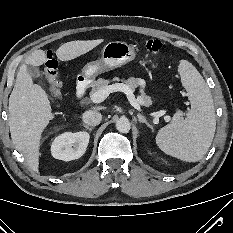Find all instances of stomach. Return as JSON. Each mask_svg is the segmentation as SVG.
<instances>
[{
  "instance_id": "obj_1",
  "label": "stomach",
  "mask_w": 233,
  "mask_h": 233,
  "mask_svg": "<svg viewBox=\"0 0 233 233\" xmlns=\"http://www.w3.org/2000/svg\"><path fill=\"white\" fill-rule=\"evenodd\" d=\"M136 56L137 52L133 45L123 41L109 42L103 47L100 59L83 67L81 76L85 80L93 81L98 75L133 61Z\"/></svg>"
}]
</instances>
